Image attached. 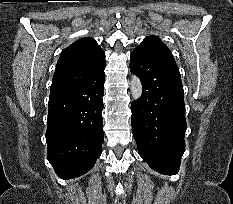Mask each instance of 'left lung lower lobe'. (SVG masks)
Here are the masks:
<instances>
[{"label":"left lung lower lobe","instance_id":"left-lung-lower-lobe-1","mask_svg":"<svg viewBox=\"0 0 233 204\" xmlns=\"http://www.w3.org/2000/svg\"><path fill=\"white\" fill-rule=\"evenodd\" d=\"M130 70L140 78L142 97L131 105L132 133L140 156L162 174L178 172L185 151L184 91L178 66L135 49Z\"/></svg>","mask_w":233,"mask_h":204}]
</instances>
